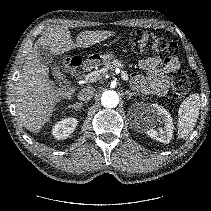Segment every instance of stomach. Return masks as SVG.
<instances>
[{
	"instance_id": "0dacf381",
	"label": "stomach",
	"mask_w": 211,
	"mask_h": 211,
	"mask_svg": "<svg viewBox=\"0 0 211 211\" xmlns=\"http://www.w3.org/2000/svg\"><path fill=\"white\" fill-rule=\"evenodd\" d=\"M113 57H115V52L107 51L103 55H91L88 61L92 64L101 65L108 63Z\"/></svg>"
}]
</instances>
